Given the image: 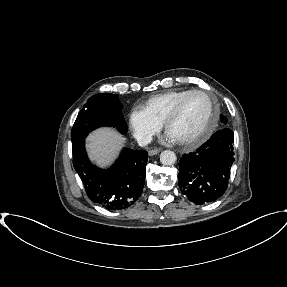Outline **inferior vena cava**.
Returning <instances> with one entry per match:
<instances>
[{
	"label": "inferior vena cava",
	"instance_id": "obj_1",
	"mask_svg": "<svg viewBox=\"0 0 287 287\" xmlns=\"http://www.w3.org/2000/svg\"><path fill=\"white\" fill-rule=\"evenodd\" d=\"M152 141V137L149 135H141L137 137V143L139 146H147Z\"/></svg>",
	"mask_w": 287,
	"mask_h": 287
}]
</instances>
